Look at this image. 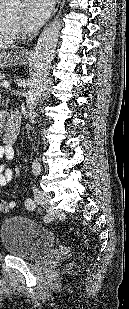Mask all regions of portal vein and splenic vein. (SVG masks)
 <instances>
[{
    "mask_svg": "<svg viewBox=\"0 0 129 309\" xmlns=\"http://www.w3.org/2000/svg\"><path fill=\"white\" fill-rule=\"evenodd\" d=\"M1 85H2L3 87H9V83L6 82V81H3V82L1 83Z\"/></svg>",
    "mask_w": 129,
    "mask_h": 309,
    "instance_id": "1",
    "label": "portal vein and splenic vein"
}]
</instances>
